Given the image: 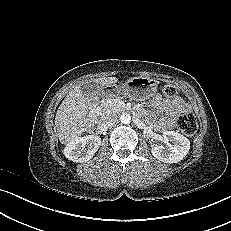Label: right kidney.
<instances>
[{"instance_id":"ca27d5eb","label":"right kidney","mask_w":231,"mask_h":231,"mask_svg":"<svg viewBox=\"0 0 231 231\" xmlns=\"http://www.w3.org/2000/svg\"><path fill=\"white\" fill-rule=\"evenodd\" d=\"M100 145L101 138L99 136L77 137L66 145L64 155L73 162H87L94 156Z\"/></svg>"}]
</instances>
